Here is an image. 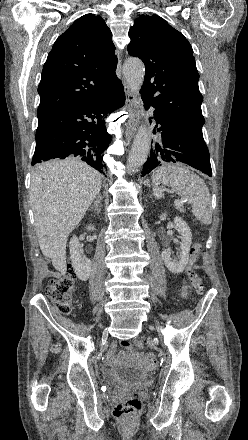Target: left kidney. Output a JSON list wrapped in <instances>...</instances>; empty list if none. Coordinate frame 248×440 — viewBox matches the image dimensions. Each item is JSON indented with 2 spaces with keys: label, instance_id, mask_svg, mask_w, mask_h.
<instances>
[{
  "label": "left kidney",
  "instance_id": "left-kidney-1",
  "mask_svg": "<svg viewBox=\"0 0 248 440\" xmlns=\"http://www.w3.org/2000/svg\"><path fill=\"white\" fill-rule=\"evenodd\" d=\"M166 214L160 216L161 220L166 219ZM174 227L180 234V253L177 259H172L170 252L164 250L161 253L162 260L166 267L174 274L182 273L189 261V251L192 243V233L187 223L181 217L174 218Z\"/></svg>",
  "mask_w": 248,
  "mask_h": 440
}]
</instances>
